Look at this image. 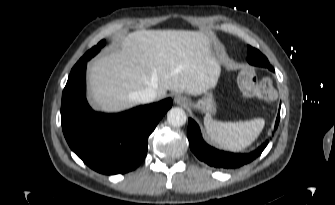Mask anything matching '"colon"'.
<instances>
[{"instance_id": "5ec220e1", "label": "colon", "mask_w": 335, "mask_h": 205, "mask_svg": "<svg viewBox=\"0 0 335 205\" xmlns=\"http://www.w3.org/2000/svg\"><path fill=\"white\" fill-rule=\"evenodd\" d=\"M237 84L246 97L271 99L274 96L272 83L268 79L258 80L254 71L248 68L238 74Z\"/></svg>"}]
</instances>
